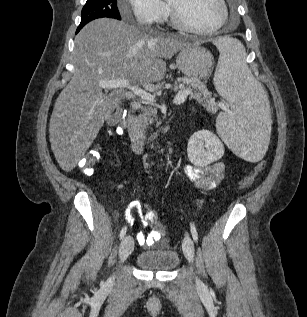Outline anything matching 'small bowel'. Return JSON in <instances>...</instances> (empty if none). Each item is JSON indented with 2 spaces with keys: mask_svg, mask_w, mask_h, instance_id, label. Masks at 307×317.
<instances>
[{
  "mask_svg": "<svg viewBox=\"0 0 307 317\" xmlns=\"http://www.w3.org/2000/svg\"><path fill=\"white\" fill-rule=\"evenodd\" d=\"M226 166L222 162H216L207 166H192L184 167L186 178L194 184L196 189L207 191L215 188L224 178ZM144 226L146 221H143ZM137 242L141 246L151 247L160 240L158 232L145 234L140 232L136 237Z\"/></svg>",
  "mask_w": 307,
  "mask_h": 317,
  "instance_id": "1",
  "label": "small bowel"
}]
</instances>
